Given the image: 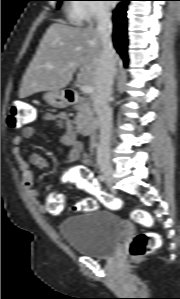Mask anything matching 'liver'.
<instances>
[{
    "label": "liver",
    "instance_id": "1",
    "mask_svg": "<svg viewBox=\"0 0 180 299\" xmlns=\"http://www.w3.org/2000/svg\"><path fill=\"white\" fill-rule=\"evenodd\" d=\"M103 50L96 28L72 27L57 21L44 34L22 79L19 97L65 88L79 69L77 82L95 90L96 70ZM115 63L119 60L114 54ZM48 66H52L49 69Z\"/></svg>",
    "mask_w": 180,
    "mask_h": 299
}]
</instances>
